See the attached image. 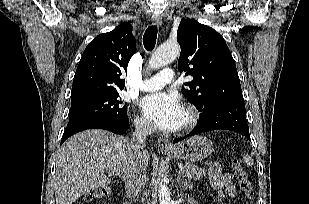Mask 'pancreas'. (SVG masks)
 I'll return each mask as SVG.
<instances>
[{
	"instance_id": "obj_1",
	"label": "pancreas",
	"mask_w": 309,
	"mask_h": 204,
	"mask_svg": "<svg viewBox=\"0 0 309 204\" xmlns=\"http://www.w3.org/2000/svg\"><path fill=\"white\" fill-rule=\"evenodd\" d=\"M183 172L185 173V176L188 177V179H195L200 180L203 179V177L206 176V171L193 165V164H186L183 168Z\"/></svg>"
}]
</instances>
